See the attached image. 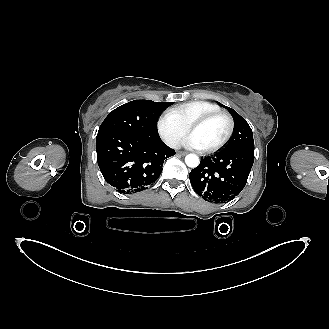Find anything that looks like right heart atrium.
<instances>
[{"instance_id": "1", "label": "right heart atrium", "mask_w": 329, "mask_h": 329, "mask_svg": "<svg viewBox=\"0 0 329 329\" xmlns=\"http://www.w3.org/2000/svg\"><path fill=\"white\" fill-rule=\"evenodd\" d=\"M156 130L162 141L171 148L176 147L187 133V127L170 110L157 119Z\"/></svg>"}]
</instances>
